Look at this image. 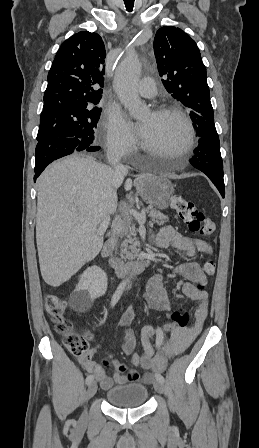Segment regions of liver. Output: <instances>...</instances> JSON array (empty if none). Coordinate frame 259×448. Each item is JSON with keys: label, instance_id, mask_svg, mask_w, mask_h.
I'll list each match as a JSON object with an SVG mask.
<instances>
[{"label": "liver", "instance_id": "6515ba94", "mask_svg": "<svg viewBox=\"0 0 259 448\" xmlns=\"http://www.w3.org/2000/svg\"><path fill=\"white\" fill-rule=\"evenodd\" d=\"M123 176L95 158L74 154L53 162L39 176L36 242L41 276L48 286L68 282L98 256L103 238L96 228L116 212ZM131 186L127 180L126 188Z\"/></svg>", "mask_w": 259, "mask_h": 448}]
</instances>
